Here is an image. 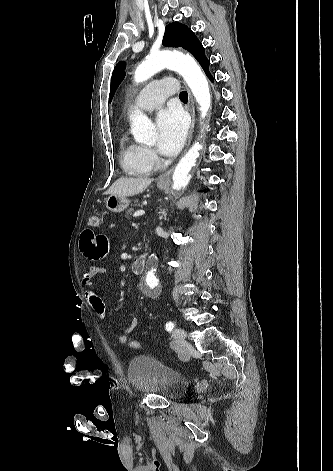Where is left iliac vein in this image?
<instances>
[{
  "instance_id": "left-iliac-vein-1",
  "label": "left iliac vein",
  "mask_w": 333,
  "mask_h": 471,
  "mask_svg": "<svg viewBox=\"0 0 333 471\" xmlns=\"http://www.w3.org/2000/svg\"><path fill=\"white\" fill-rule=\"evenodd\" d=\"M172 334L177 343H182L187 337V332L182 328H175Z\"/></svg>"
}]
</instances>
